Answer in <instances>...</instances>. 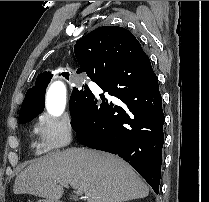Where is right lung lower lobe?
<instances>
[{
	"label": "right lung lower lobe",
	"instance_id": "1",
	"mask_svg": "<svg viewBox=\"0 0 209 202\" xmlns=\"http://www.w3.org/2000/svg\"><path fill=\"white\" fill-rule=\"evenodd\" d=\"M125 82L106 77L96 83L113 96L88 99L71 120L77 139L87 147L116 154L128 162L159 193L164 143L162 98L148 56ZM130 71H128L129 73Z\"/></svg>",
	"mask_w": 209,
	"mask_h": 202
}]
</instances>
